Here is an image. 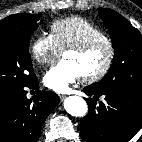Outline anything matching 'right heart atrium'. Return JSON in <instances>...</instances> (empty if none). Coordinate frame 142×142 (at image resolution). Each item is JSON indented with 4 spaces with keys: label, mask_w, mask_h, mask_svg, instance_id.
Segmentation results:
<instances>
[{
    "label": "right heart atrium",
    "mask_w": 142,
    "mask_h": 142,
    "mask_svg": "<svg viewBox=\"0 0 142 142\" xmlns=\"http://www.w3.org/2000/svg\"><path fill=\"white\" fill-rule=\"evenodd\" d=\"M60 52L50 35L39 34L33 38L30 44L32 58L41 65L54 63L60 56Z\"/></svg>",
    "instance_id": "d8ad5b80"
}]
</instances>
